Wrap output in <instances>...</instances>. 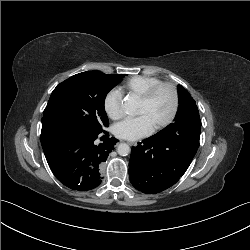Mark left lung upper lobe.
Instances as JSON below:
<instances>
[{"label": "left lung upper lobe", "mask_w": 250, "mask_h": 250, "mask_svg": "<svg viewBox=\"0 0 250 250\" xmlns=\"http://www.w3.org/2000/svg\"><path fill=\"white\" fill-rule=\"evenodd\" d=\"M179 106L174 122L157 134H164L171 131V128L178 124H183L189 121H200V116L196 102L181 85H178Z\"/></svg>", "instance_id": "5c2ea615"}]
</instances>
